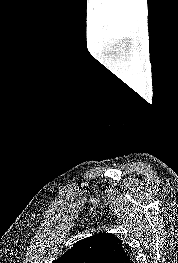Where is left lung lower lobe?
<instances>
[{
	"label": "left lung lower lobe",
	"instance_id": "0a47b994",
	"mask_svg": "<svg viewBox=\"0 0 178 263\" xmlns=\"http://www.w3.org/2000/svg\"><path fill=\"white\" fill-rule=\"evenodd\" d=\"M109 263H134V262L131 260L130 256L123 249V251L118 256L113 258Z\"/></svg>",
	"mask_w": 178,
	"mask_h": 263
}]
</instances>
